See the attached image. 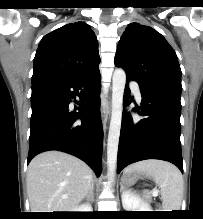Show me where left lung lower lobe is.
<instances>
[{"label": "left lung lower lobe", "instance_id": "obj_1", "mask_svg": "<svg viewBox=\"0 0 203 219\" xmlns=\"http://www.w3.org/2000/svg\"><path fill=\"white\" fill-rule=\"evenodd\" d=\"M130 80L134 79L126 76V82ZM139 86L142 96L141 112L137 107L133 110L146 118L136 121L129 113L123 112L117 173L131 163L146 159L169 161L183 173L180 143L181 93L142 84ZM129 94L126 84L124 106L131 103Z\"/></svg>", "mask_w": 203, "mask_h": 219}]
</instances>
